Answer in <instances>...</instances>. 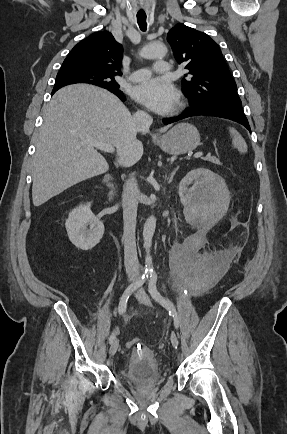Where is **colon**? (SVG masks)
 <instances>
[{"label":"colon","mask_w":287,"mask_h":434,"mask_svg":"<svg viewBox=\"0 0 287 434\" xmlns=\"http://www.w3.org/2000/svg\"><path fill=\"white\" fill-rule=\"evenodd\" d=\"M139 343H140V340L137 339V338H135V339H132V340H130V341L127 342V347H128V348H134V347H136Z\"/></svg>","instance_id":"colon-1"}]
</instances>
